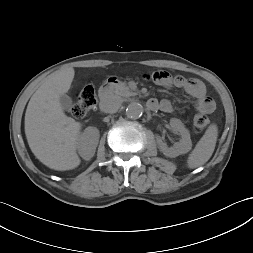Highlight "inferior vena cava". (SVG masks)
<instances>
[{"instance_id": "obj_1", "label": "inferior vena cava", "mask_w": 253, "mask_h": 253, "mask_svg": "<svg viewBox=\"0 0 253 253\" xmlns=\"http://www.w3.org/2000/svg\"><path fill=\"white\" fill-rule=\"evenodd\" d=\"M121 99L111 96L106 99L101 100L99 107L104 113H116L121 106Z\"/></svg>"}]
</instances>
